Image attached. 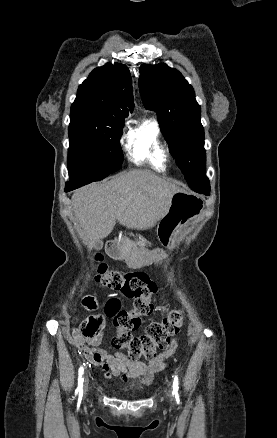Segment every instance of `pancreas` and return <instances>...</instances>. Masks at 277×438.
<instances>
[{
	"mask_svg": "<svg viewBox=\"0 0 277 438\" xmlns=\"http://www.w3.org/2000/svg\"><path fill=\"white\" fill-rule=\"evenodd\" d=\"M140 244H137L136 239H125L122 235H117L113 239H106L104 244H116L120 253H123L126 248L129 253H141L143 247L141 244H147L149 238L147 235H140L138 238Z\"/></svg>",
	"mask_w": 277,
	"mask_h": 438,
	"instance_id": "1",
	"label": "pancreas"
}]
</instances>
